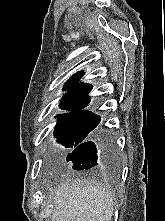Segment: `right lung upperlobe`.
Returning <instances> with one entry per match:
<instances>
[{"mask_svg":"<svg viewBox=\"0 0 165 221\" xmlns=\"http://www.w3.org/2000/svg\"><path fill=\"white\" fill-rule=\"evenodd\" d=\"M84 72L74 74L65 84L64 90H67L60 103L62 109L74 111L71 113L89 114L90 111L83 110L89 102L88 93L92 89V85L78 83Z\"/></svg>","mask_w":165,"mask_h":221,"instance_id":"cb5924a9","label":"right lung upper lobe"}]
</instances>
